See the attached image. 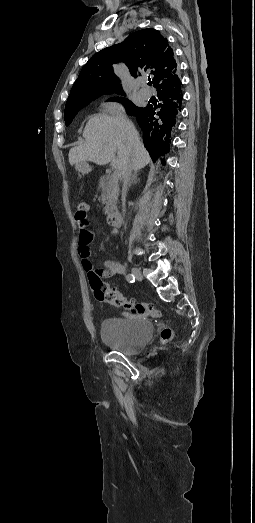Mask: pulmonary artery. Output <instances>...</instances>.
<instances>
[{
  "mask_svg": "<svg viewBox=\"0 0 255 523\" xmlns=\"http://www.w3.org/2000/svg\"><path fill=\"white\" fill-rule=\"evenodd\" d=\"M142 88L138 94L144 99H150L154 95V90L147 85V79L143 78L141 81Z\"/></svg>",
  "mask_w": 255,
  "mask_h": 523,
  "instance_id": "pulmonary-artery-1",
  "label": "pulmonary artery"
}]
</instances>
